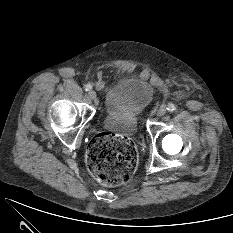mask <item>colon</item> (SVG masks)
Here are the masks:
<instances>
[{
  "label": "colon",
  "mask_w": 233,
  "mask_h": 233,
  "mask_svg": "<svg viewBox=\"0 0 233 233\" xmlns=\"http://www.w3.org/2000/svg\"><path fill=\"white\" fill-rule=\"evenodd\" d=\"M89 171L102 184L117 186L126 183L136 170V148L129 137L113 132L97 134L86 154Z\"/></svg>",
  "instance_id": "colon-1"
}]
</instances>
